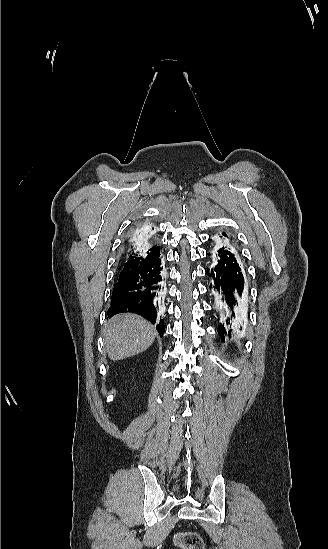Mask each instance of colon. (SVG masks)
<instances>
[{"label": "colon", "instance_id": "5ec220e1", "mask_svg": "<svg viewBox=\"0 0 328 549\" xmlns=\"http://www.w3.org/2000/svg\"><path fill=\"white\" fill-rule=\"evenodd\" d=\"M176 546L183 549H202L203 541L201 537L192 531L180 532L175 536Z\"/></svg>", "mask_w": 328, "mask_h": 549}]
</instances>
